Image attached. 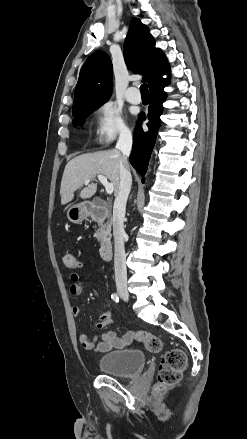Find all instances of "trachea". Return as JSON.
<instances>
[{"instance_id":"trachea-1","label":"trachea","mask_w":247,"mask_h":439,"mask_svg":"<svg viewBox=\"0 0 247 439\" xmlns=\"http://www.w3.org/2000/svg\"><path fill=\"white\" fill-rule=\"evenodd\" d=\"M140 92L142 96H149V91H148V85L147 84H142L140 86Z\"/></svg>"}]
</instances>
